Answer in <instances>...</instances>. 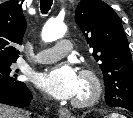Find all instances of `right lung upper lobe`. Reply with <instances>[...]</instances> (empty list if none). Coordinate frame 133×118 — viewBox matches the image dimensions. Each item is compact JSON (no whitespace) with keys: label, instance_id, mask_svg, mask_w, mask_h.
I'll return each instance as SVG.
<instances>
[{"label":"right lung upper lobe","instance_id":"1","mask_svg":"<svg viewBox=\"0 0 133 118\" xmlns=\"http://www.w3.org/2000/svg\"><path fill=\"white\" fill-rule=\"evenodd\" d=\"M26 30V20L20 5L14 1L0 4V62H16Z\"/></svg>","mask_w":133,"mask_h":118}]
</instances>
